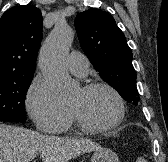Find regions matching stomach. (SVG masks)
Returning a JSON list of instances; mask_svg holds the SVG:
<instances>
[{
  "instance_id": "0dacf381",
  "label": "stomach",
  "mask_w": 168,
  "mask_h": 162,
  "mask_svg": "<svg viewBox=\"0 0 168 162\" xmlns=\"http://www.w3.org/2000/svg\"><path fill=\"white\" fill-rule=\"evenodd\" d=\"M91 162H119V159L112 150L101 148L93 153Z\"/></svg>"
}]
</instances>
